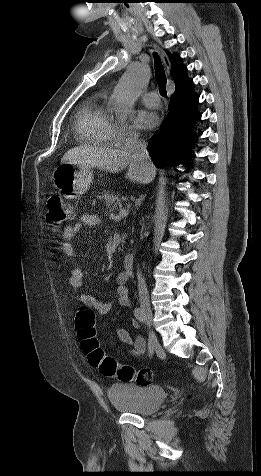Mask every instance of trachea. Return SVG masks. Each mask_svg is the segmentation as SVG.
Returning a JSON list of instances; mask_svg holds the SVG:
<instances>
[{
  "mask_svg": "<svg viewBox=\"0 0 261 476\" xmlns=\"http://www.w3.org/2000/svg\"><path fill=\"white\" fill-rule=\"evenodd\" d=\"M154 60H155L154 62L155 77L159 87V92L162 96L165 97L167 95V91H166L167 79H166V75H165V71H164V67L162 65L161 59L157 53L154 54Z\"/></svg>",
  "mask_w": 261,
  "mask_h": 476,
  "instance_id": "1",
  "label": "trachea"
}]
</instances>
